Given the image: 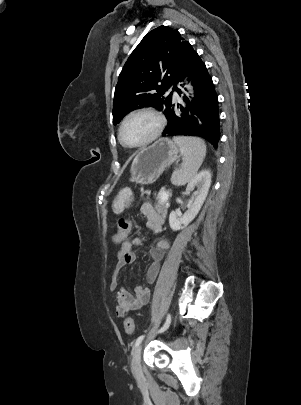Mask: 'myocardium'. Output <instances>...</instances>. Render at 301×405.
I'll return each mask as SVG.
<instances>
[{"label":"myocardium","mask_w":301,"mask_h":405,"mask_svg":"<svg viewBox=\"0 0 301 405\" xmlns=\"http://www.w3.org/2000/svg\"><path fill=\"white\" fill-rule=\"evenodd\" d=\"M143 114H147V115H150V116L155 118V120L157 121V126H156L155 131L152 133L151 136H149L146 140L142 141L139 144L129 145V144L125 143L123 141V138H122V131H123V128H124L126 122L129 119H131L132 117H135V116H138V115H143ZM165 125H166V119H165V117L163 116V114L161 112H159L156 109L149 108V107L140 108V109H137V110H134V111L130 112L122 120V122H121V124L119 126V130H118V140L126 148H129V149L141 148V147H144V146L152 143L154 140H156L161 135V133L163 132V130L165 128Z\"/></svg>","instance_id":"obj_1"}]
</instances>
